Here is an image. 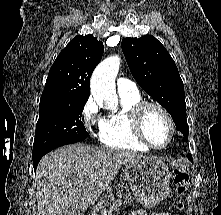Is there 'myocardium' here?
<instances>
[{"label": "myocardium", "mask_w": 221, "mask_h": 215, "mask_svg": "<svg viewBox=\"0 0 221 215\" xmlns=\"http://www.w3.org/2000/svg\"><path fill=\"white\" fill-rule=\"evenodd\" d=\"M149 108H155L159 110L164 117L167 119L170 127V134L167 142L162 146H156L154 145L146 136L144 132L143 122H144V116L146 111ZM131 121H132V127L135 136L138 138L139 141H141L144 145L149 147L150 149L154 150H162L167 148L175 135V122L171 116V114L168 112V110L162 106L161 104L154 102V101H145L141 100L140 102L136 103L132 109H131Z\"/></svg>", "instance_id": "obj_1"}]
</instances>
